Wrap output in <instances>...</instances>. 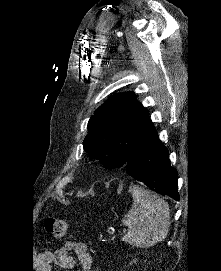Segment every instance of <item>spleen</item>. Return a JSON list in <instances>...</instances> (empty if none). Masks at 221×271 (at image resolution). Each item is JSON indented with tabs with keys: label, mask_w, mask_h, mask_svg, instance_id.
Segmentation results:
<instances>
[{
	"label": "spleen",
	"mask_w": 221,
	"mask_h": 271,
	"mask_svg": "<svg viewBox=\"0 0 221 271\" xmlns=\"http://www.w3.org/2000/svg\"><path fill=\"white\" fill-rule=\"evenodd\" d=\"M132 197V207L122 219L128 227L122 241L136 247H151L164 241L171 223L167 201L141 187H134Z\"/></svg>",
	"instance_id": "1"
}]
</instances>
